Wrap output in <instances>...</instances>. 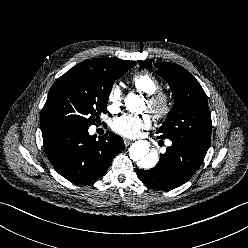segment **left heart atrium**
<instances>
[{"mask_svg":"<svg viewBox=\"0 0 248 248\" xmlns=\"http://www.w3.org/2000/svg\"><path fill=\"white\" fill-rule=\"evenodd\" d=\"M150 125L151 119L149 115H124L113 121L112 129L122 136L135 138L140 135L141 130L149 128Z\"/></svg>","mask_w":248,"mask_h":248,"instance_id":"obj_1","label":"left heart atrium"}]
</instances>
